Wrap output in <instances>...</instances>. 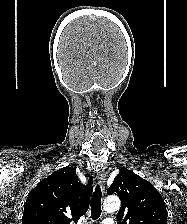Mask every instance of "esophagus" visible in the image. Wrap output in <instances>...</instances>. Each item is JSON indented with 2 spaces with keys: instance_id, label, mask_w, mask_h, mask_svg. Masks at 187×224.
<instances>
[{
  "instance_id": "1",
  "label": "esophagus",
  "mask_w": 187,
  "mask_h": 224,
  "mask_svg": "<svg viewBox=\"0 0 187 224\" xmlns=\"http://www.w3.org/2000/svg\"><path fill=\"white\" fill-rule=\"evenodd\" d=\"M105 178H106V174L104 171H99L97 173V180L99 182V184L102 186V191H105Z\"/></svg>"
}]
</instances>
